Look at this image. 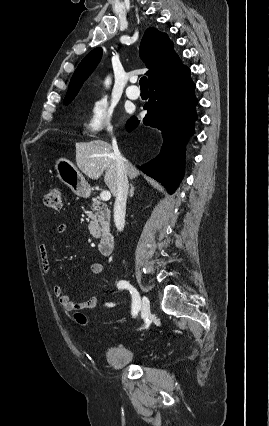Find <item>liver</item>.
<instances>
[{
    "label": "liver",
    "instance_id": "6515ba94",
    "mask_svg": "<svg viewBox=\"0 0 269 426\" xmlns=\"http://www.w3.org/2000/svg\"><path fill=\"white\" fill-rule=\"evenodd\" d=\"M76 164L86 176L93 180L100 178L105 171V184L115 196L117 184L116 160L113 148L109 143L102 140L76 143ZM127 174L131 179H134L139 175V171L129 164Z\"/></svg>",
    "mask_w": 269,
    "mask_h": 426
}]
</instances>
